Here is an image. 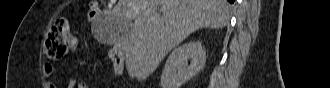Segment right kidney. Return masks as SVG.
Segmentation results:
<instances>
[{"label":"right kidney","instance_id":"obj_1","mask_svg":"<svg viewBox=\"0 0 330 88\" xmlns=\"http://www.w3.org/2000/svg\"><path fill=\"white\" fill-rule=\"evenodd\" d=\"M205 62L206 52L201 42H190L176 47L164 66L161 88H180L203 69Z\"/></svg>","mask_w":330,"mask_h":88}]
</instances>
